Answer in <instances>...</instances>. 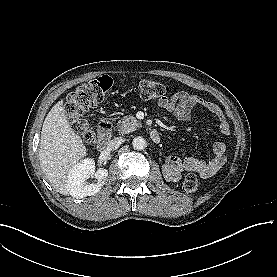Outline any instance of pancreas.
<instances>
[{"label": "pancreas", "instance_id": "pancreas-1", "mask_svg": "<svg viewBox=\"0 0 277 277\" xmlns=\"http://www.w3.org/2000/svg\"><path fill=\"white\" fill-rule=\"evenodd\" d=\"M138 127L139 122L131 115L124 116L117 125L118 131L121 134L132 132Z\"/></svg>", "mask_w": 277, "mask_h": 277}]
</instances>
